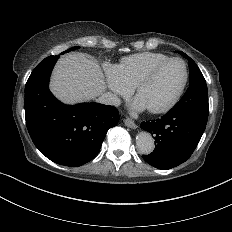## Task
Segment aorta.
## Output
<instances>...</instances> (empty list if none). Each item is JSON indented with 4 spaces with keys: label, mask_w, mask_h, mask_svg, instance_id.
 I'll return each instance as SVG.
<instances>
[{
    "label": "aorta",
    "mask_w": 232,
    "mask_h": 232,
    "mask_svg": "<svg viewBox=\"0 0 232 232\" xmlns=\"http://www.w3.org/2000/svg\"><path fill=\"white\" fill-rule=\"evenodd\" d=\"M136 146L142 154L148 155L154 150V139L151 134L142 131L136 136Z\"/></svg>",
    "instance_id": "aorta-1"
}]
</instances>
